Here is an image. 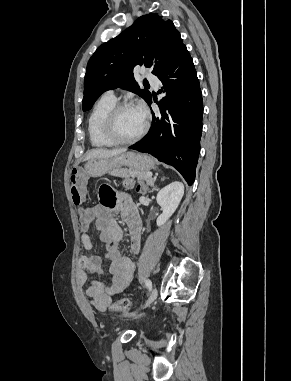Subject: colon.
Instances as JSON below:
<instances>
[{"label": "colon", "mask_w": 291, "mask_h": 381, "mask_svg": "<svg viewBox=\"0 0 291 381\" xmlns=\"http://www.w3.org/2000/svg\"><path fill=\"white\" fill-rule=\"evenodd\" d=\"M70 188L72 202L76 207H81L84 202L85 180L79 170H74L70 176ZM105 189V188H102ZM101 202L110 205L109 198H101ZM110 310L114 312L128 313L133 310V304L129 299H119L110 305Z\"/></svg>", "instance_id": "1"}]
</instances>
